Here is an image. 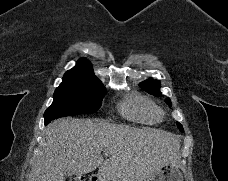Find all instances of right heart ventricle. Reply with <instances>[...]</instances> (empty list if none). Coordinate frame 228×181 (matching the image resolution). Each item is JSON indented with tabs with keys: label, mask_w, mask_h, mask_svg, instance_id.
<instances>
[{
	"label": "right heart ventricle",
	"mask_w": 228,
	"mask_h": 181,
	"mask_svg": "<svg viewBox=\"0 0 228 181\" xmlns=\"http://www.w3.org/2000/svg\"><path fill=\"white\" fill-rule=\"evenodd\" d=\"M122 113L128 118L154 122L159 119V111L152 105L133 99L122 107Z\"/></svg>",
	"instance_id": "1"
}]
</instances>
